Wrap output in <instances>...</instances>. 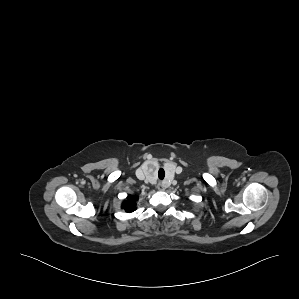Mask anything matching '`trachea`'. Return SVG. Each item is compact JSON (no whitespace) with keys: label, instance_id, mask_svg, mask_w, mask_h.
Returning <instances> with one entry per match:
<instances>
[{"label":"trachea","instance_id":"trachea-1","mask_svg":"<svg viewBox=\"0 0 299 299\" xmlns=\"http://www.w3.org/2000/svg\"><path fill=\"white\" fill-rule=\"evenodd\" d=\"M158 177H159V179H164V177H165V171H164V169L163 168H160L159 169V171H158Z\"/></svg>","mask_w":299,"mask_h":299}]
</instances>
